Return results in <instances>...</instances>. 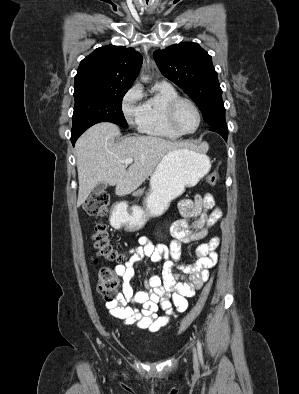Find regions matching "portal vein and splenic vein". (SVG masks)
I'll list each match as a JSON object with an SVG mask.
<instances>
[{
    "label": "portal vein and splenic vein",
    "mask_w": 299,
    "mask_h": 394,
    "mask_svg": "<svg viewBox=\"0 0 299 394\" xmlns=\"http://www.w3.org/2000/svg\"><path fill=\"white\" fill-rule=\"evenodd\" d=\"M125 164H132L133 163V159L132 158H127L124 160Z\"/></svg>",
    "instance_id": "obj_1"
}]
</instances>
